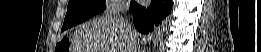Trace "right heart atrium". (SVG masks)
I'll use <instances>...</instances> for the list:
<instances>
[{"instance_id": "d8ad5b80", "label": "right heart atrium", "mask_w": 261, "mask_h": 52, "mask_svg": "<svg viewBox=\"0 0 261 52\" xmlns=\"http://www.w3.org/2000/svg\"><path fill=\"white\" fill-rule=\"evenodd\" d=\"M125 7V2L122 0H108L105 3L106 13L117 14Z\"/></svg>"}]
</instances>
